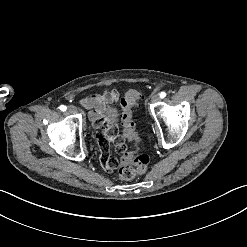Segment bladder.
<instances>
[{
    "label": "bladder",
    "mask_w": 247,
    "mask_h": 247,
    "mask_svg": "<svg viewBox=\"0 0 247 247\" xmlns=\"http://www.w3.org/2000/svg\"><path fill=\"white\" fill-rule=\"evenodd\" d=\"M104 115L107 118H112V119H116L118 116V113L115 111L114 108L107 106L106 110L104 111Z\"/></svg>",
    "instance_id": "obj_1"
}]
</instances>
